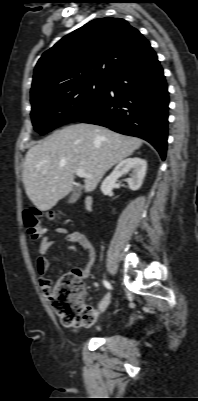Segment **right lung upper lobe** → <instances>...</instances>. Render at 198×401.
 Returning a JSON list of instances; mask_svg holds the SVG:
<instances>
[{"label":"right lung upper lobe","mask_w":198,"mask_h":401,"mask_svg":"<svg viewBox=\"0 0 198 401\" xmlns=\"http://www.w3.org/2000/svg\"><path fill=\"white\" fill-rule=\"evenodd\" d=\"M149 48L148 40L124 19L93 20L43 53L34 70L31 101L87 81H107Z\"/></svg>","instance_id":"cb5924a9"}]
</instances>
